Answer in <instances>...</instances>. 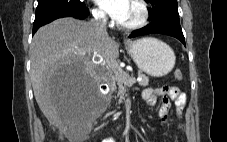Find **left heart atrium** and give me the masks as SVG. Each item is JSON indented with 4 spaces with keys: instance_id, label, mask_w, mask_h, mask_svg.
<instances>
[{
    "instance_id": "left-heart-atrium-1",
    "label": "left heart atrium",
    "mask_w": 227,
    "mask_h": 142,
    "mask_svg": "<svg viewBox=\"0 0 227 142\" xmlns=\"http://www.w3.org/2000/svg\"><path fill=\"white\" fill-rule=\"evenodd\" d=\"M96 3L114 20L120 22L129 7L130 0H95Z\"/></svg>"
}]
</instances>
